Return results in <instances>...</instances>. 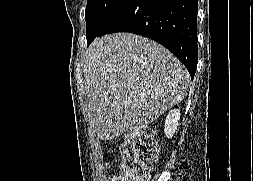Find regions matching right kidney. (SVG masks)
Masks as SVG:
<instances>
[{"label": "right kidney", "instance_id": "1", "mask_svg": "<svg viewBox=\"0 0 253 181\" xmlns=\"http://www.w3.org/2000/svg\"><path fill=\"white\" fill-rule=\"evenodd\" d=\"M180 119V110H171L165 119V135L168 139L172 138L175 131L177 130L178 122Z\"/></svg>", "mask_w": 253, "mask_h": 181}]
</instances>
